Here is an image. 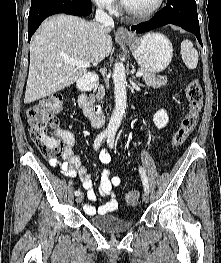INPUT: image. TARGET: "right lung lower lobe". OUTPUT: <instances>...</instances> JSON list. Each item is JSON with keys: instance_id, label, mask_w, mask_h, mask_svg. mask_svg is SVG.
Here are the masks:
<instances>
[{"instance_id": "obj_1", "label": "right lung lower lobe", "mask_w": 221, "mask_h": 263, "mask_svg": "<svg viewBox=\"0 0 221 263\" xmlns=\"http://www.w3.org/2000/svg\"><path fill=\"white\" fill-rule=\"evenodd\" d=\"M91 11V0H37L31 3L28 17L29 41L41 22L53 14L88 16Z\"/></svg>"}]
</instances>
